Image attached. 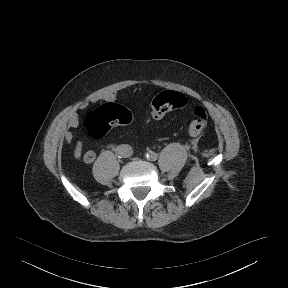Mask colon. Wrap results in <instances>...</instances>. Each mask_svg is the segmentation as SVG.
I'll return each instance as SVG.
<instances>
[{
	"instance_id": "obj_1",
	"label": "colon",
	"mask_w": 288,
	"mask_h": 288,
	"mask_svg": "<svg viewBox=\"0 0 288 288\" xmlns=\"http://www.w3.org/2000/svg\"><path fill=\"white\" fill-rule=\"evenodd\" d=\"M185 105V98L179 92H167L159 95L152 103L150 113L155 120L162 119L168 112L182 108ZM132 120L129 110L116 104H103L96 107L88 116L86 129L91 138L100 140L115 126L128 124ZM207 115L203 109L194 113V118L189 124L188 132L191 136L201 135L207 125ZM94 152L85 151L83 158L86 161L92 160Z\"/></svg>"
}]
</instances>
